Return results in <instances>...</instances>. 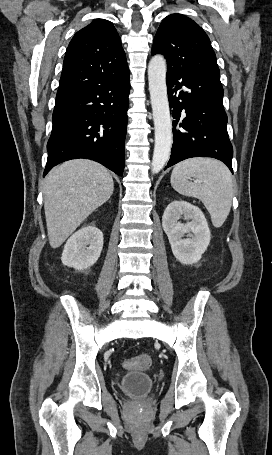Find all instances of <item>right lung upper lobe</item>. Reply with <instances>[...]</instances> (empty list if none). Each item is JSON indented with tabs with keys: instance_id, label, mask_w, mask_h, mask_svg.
Listing matches in <instances>:
<instances>
[{
	"instance_id": "obj_1",
	"label": "right lung upper lobe",
	"mask_w": 272,
	"mask_h": 455,
	"mask_svg": "<svg viewBox=\"0 0 272 455\" xmlns=\"http://www.w3.org/2000/svg\"><path fill=\"white\" fill-rule=\"evenodd\" d=\"M129 74L121 39L108 20L96 19L68 45L56 99Z\"/></svg>"
}]
</instances>
